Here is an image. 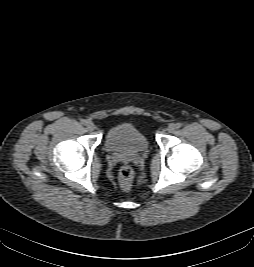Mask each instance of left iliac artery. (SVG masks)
Masks as SVG:
<instances>
[{
	"mask_svg": "<svg viewBox=\"0 0 254 267\" xmlns=\"http://www.w3.org/2000/svg\"><path fill=\"white\" fill-rule=\"evenodd\" d=\"M175 125H176V128H180L182 126L181 123H176Z\"/></svg>",
	"mask_w": 254,
	"mask_h": 267,
	"instance_id": "left-iliac-artery-1",
	"label": "left iliac artery"
}]
</instances>
